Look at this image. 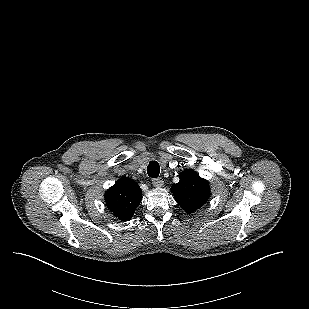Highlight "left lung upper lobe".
Instances as JSON below:
<instances>
[{"mask_svg":"<svg viewBox=\"0 0 309 309\" xmlns=\"http://www.w3.org/2000/svg\"><path fill=\"white\" fill-rule=\"evenodd\" d=\"M171 190L177 203L189 214L200 209L210 197L208 181L191 169L180 173V181Z\"/></svg>","mask_w":309,"mask_h":309,"instance_id":"obj_1","label":"left lung upper lobe"}]
</instances>
